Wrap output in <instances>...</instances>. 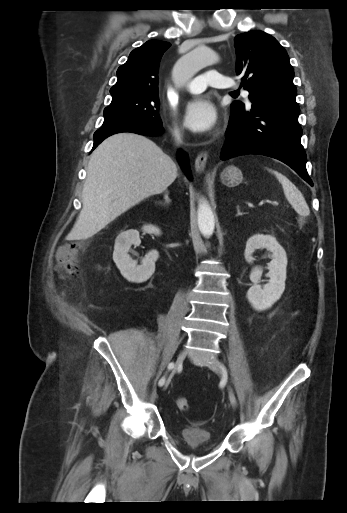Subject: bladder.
Segmentation results:
<instances>
[{"label": "bladder", "instance_id": "obj_1", "mask_svg": "<svg viewBox=\"0 0 347 513\" xmlns=\"http://www.w3.org/2000/svg\"><path fill=\"white\" fill-rule=\"evenodd\" d=\"M180 436L183 443L192 450L208 452L217 446L211 432L204 428L186 426L180 430Z\"/></svg>", "mask_w": 347, "mask_h": 513}]
</instances>
